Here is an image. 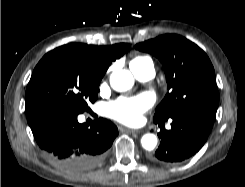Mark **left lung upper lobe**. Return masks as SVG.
Returning a JSON list of instances; mask_svg holds the SVG:
<instances>
[{"label": "left lung upper lobe", "mask_w": 245, "mask_h": 187, "mask_svg": "<svg viewBox=\"0 0 245 187\" xmlns=\"http://www.w3.org/2000/svg\"><path fill=\"white\" fill-rule=\"evenodd\" d=\"M163 64L168 93L156 109L154 121H167L196 112L216 113L219 93L214 68L205 52L186 38L166 34L135 46Z\"/></svg>", "instance_id": "1"}]
</instances>
